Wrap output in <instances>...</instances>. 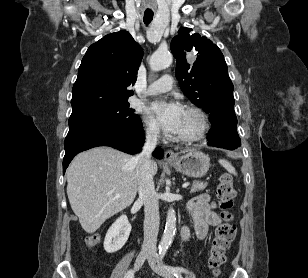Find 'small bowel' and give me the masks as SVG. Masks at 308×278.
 Segmentation results:
<instances>
[{
  "label": "small bowel",
  "instance_id": "c3829d8e",
  "mask_svg": "<svg viewBox=\"0 0 308 278\" xmlns=\"http://www.w3.org/2000/svg\"><path fill=\"white\" fill-rule=\"evenodd\" d=\"M216 203L209 194H201L191 199L187 210L194 221L195 233L200 240H204L209 228L221 223L220 215L215 211ZM181 237L187 241L190 237V230L184 226L181 230Z\"/></svg>",
  "mask_w": 308,
  "mask_h": 278
}]
</instances>
